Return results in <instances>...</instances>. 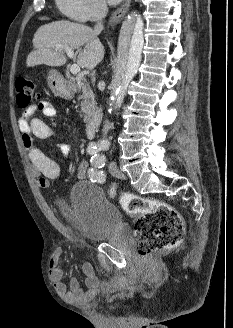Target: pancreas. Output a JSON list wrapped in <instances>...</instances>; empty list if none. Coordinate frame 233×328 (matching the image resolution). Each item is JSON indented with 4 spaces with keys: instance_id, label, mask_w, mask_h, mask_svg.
I'll list each match as a JSON object with an SVG mask.
<instances>
[{
    "instance_id": "1",
    "label": "pancreas",
    "mask_w": 233,
    "mask_h": 328,
    "mask_svg": "<svg viewBox=\"0 0 233 328\" xmlns=\"http://www.w3.org/2000/svg\"><path fill=\"white\" fill-rule=\"evenodd\" d=\"M79 91L82 93L78 100L81 103V111L84 115V122L87 123L93 117L96 111L95 96L88 83L83 79L79 83Z\"/></svg>"
}]
</instances>
